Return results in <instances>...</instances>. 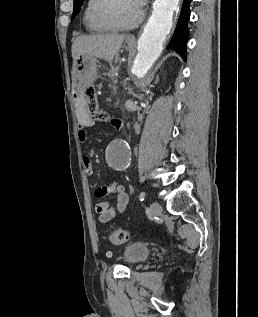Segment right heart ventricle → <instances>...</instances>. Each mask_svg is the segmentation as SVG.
<instances>
[{
    "mask_svg": "<svg viewBox=\"0 0 258 317\" xmlns=\"http://www.w3.org/2000/svg\"><path fill=\"white\" fill-rule=\"evenodd\" d=\"M102 0H87L83 12V21L86 29L95 34H104L111 31L110 28L101 24L95 17V9Z\"/></svg>",
    "mask_w": 258,
    "mask_h": 317,
    "instance_id": "obj_1",
    "label": "right heart ventricle"
}]
</instances>
